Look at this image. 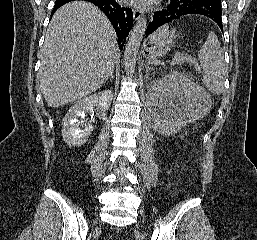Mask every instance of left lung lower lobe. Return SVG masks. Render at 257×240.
I'll return each instance as SVG.
<instances>
[{
  "label": "left lung lower lobe",
  "instance_id": "0a47b994",
  "mask_svg": "<svg viewBox=\"0 0 257 240\" xmlns=\"http://www.w3.org/2000/svg\"><path fill=\"white\" fill-rule=\"evenodd\" d=\"M201 15L213 20L223 32L221 0H170V3L151 17L146 36L158 27L185 15Z\"/></svg>",
  "mask_w": 257,
  "mask_h": 240
}]
</instances>
